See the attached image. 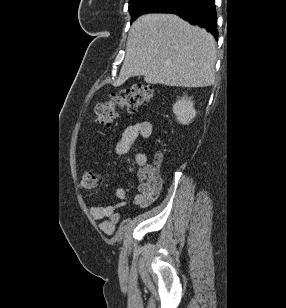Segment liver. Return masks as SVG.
Here are the masks:
<instances>
[{
	"mask_svg": "<svg viewBox=\"0 0 286 308\" xmlns=\"http://www.w3.org/2000/svg\"><path fill=\"white\" fill-rule=\"evenodd\" d=\"M215 39L176 15L146 14L133 22L116 85L143 76L148 84L207 87L215 81Z\"/></svg>",
	"mask_w": 286,
	"mask_h": 308,
	"instance_id": "liver-1",
	"label": "liver"
}]
</instances>
